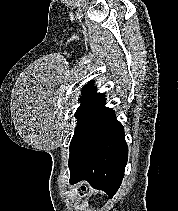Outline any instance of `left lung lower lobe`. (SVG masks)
Masks as SVG:
<instances>
[{"label":"left lung lower lobe","mask_w":178,"mask_h":211,"mask_svg":"<svg viewBox=\"0 0 178 211\" xmlns=\"http://www.w3.org/2000/svg\"><path fill=\"white\" fill-rule=\"evenodd\" d=\"M127 155L123 126L113 109L106 108L69 156L70 183L86 180L112 198L122 182Z\"/></svg>","instance_id":"left-lung-lower-lobe-1"}]
</instances>
